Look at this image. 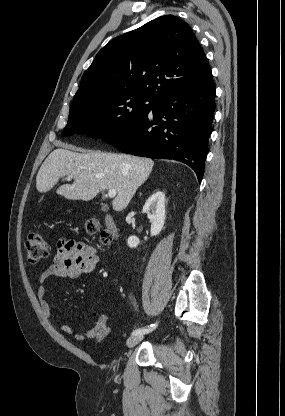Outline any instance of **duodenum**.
Instances as JSON below:
<instances>
[{"mask_svg":"<svg viewBox=\"0 0 285 416\" xmlns=\"http://www.w3.org/2000/svg\"><path fill=\"white\" fill-rule=\"evenodd\" d=\"M106 225H107V228H108V230L114 235V236H117V234H118V229H117V226H116V224H115V222H114V220L113 219H111V218H108L107 219V221H106Z\"/></svg>","mask_w":285,"mask_h":416,"instance_id":"duodenum-1","label":"duodenum"}]
</instances>
